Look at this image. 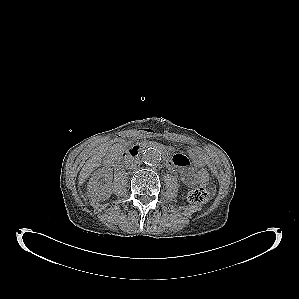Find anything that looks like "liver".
Masks as SVG:
<instances>
[{
  "instance_id": "6515ba94",
  "label": "liver",
  "mask_w": 299,
  "mask_h": 299,
  "mask_svg": "<svg viewBox=\"0 0 299 299\" xmlns=\"http://www.w3.org/2000/svg\"><path fill=\"white\" fill-rule=\"evenodd\" d=\"M107 146H103L97 151L93 156L85 163L80 174H79V184H83L85 180L89 177V175L94 171L97 167L100 166L103 156L106 153Z\"/></svg>"
}]
</instances>
